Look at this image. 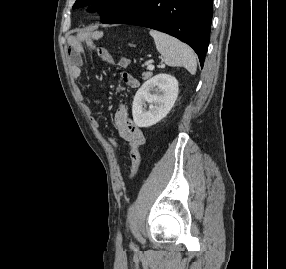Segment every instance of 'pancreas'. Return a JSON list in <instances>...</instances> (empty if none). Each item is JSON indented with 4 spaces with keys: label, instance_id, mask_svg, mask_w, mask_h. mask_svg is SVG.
<instances>
[{
    "label": "pancreas",
    "instance_id": "1",
    "mask_svg": "<svg viewBox=\"0 0 286 269\" xmlns=\"http://www.w3.org/2000/svg\"><path fill=\"white\" fill-rule=\"evenodd\" d=\"M142 76H143V79L146 80L152 76V72H144Z\"/></svg>",
    "mask_w": 286,
    "mask_h": 269
}]
</instances>
